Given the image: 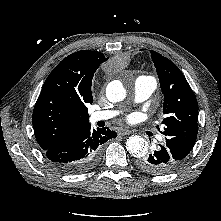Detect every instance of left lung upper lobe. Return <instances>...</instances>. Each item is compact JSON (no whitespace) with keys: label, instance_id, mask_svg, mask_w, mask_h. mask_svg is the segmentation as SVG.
I'll return each instance as SVG.
<instances>
[{"label":"left lung upper lobe","instance_id":"1","mask_svg":"<svg viewBox=\"0 0 221 221\" xmlns=\"http://www.w3.org/2000/svg\"><path fill=\"white\" fill-rule=\"evenodd\" d=\"M161 90L165 143L182 163L193 148L198 132V102L179 68L161 54L151 51Z\"/></svg>","mask_w":221,"mask_h":221}]
</instances>
